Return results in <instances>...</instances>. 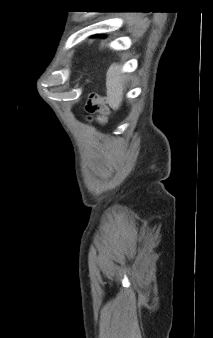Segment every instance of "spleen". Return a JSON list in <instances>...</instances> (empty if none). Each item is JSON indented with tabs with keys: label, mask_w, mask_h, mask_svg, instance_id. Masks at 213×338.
<instances>
[{
	"label": "spleen",
	"mask_w": 213,
	"mask_h": 338,
	"mask_svg": "<svg viewBox=\"0 0 213 338\" xmlns=\"http://www.w3.org/2000/svg\"><path fill=\"white\" fill-rule=\"evenodd\" d=\"M118 65L113 64L110 66L107 72V94L109 98V104L113 109H118L121 104V98L123 94V81L122 77L117 74Z\"/></svg>",
	"instance_id": "3e777b00"
}]
</instances>
